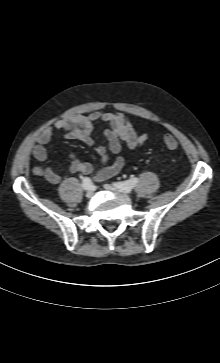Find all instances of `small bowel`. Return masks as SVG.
Segmentation results:
<instances>
[{
  "mask_svg": "<svg viewBox=\"0 0 220 363\" xmlns=\"http://www.w3.org/2000/svg\"><path fill=\"white\" fill-rule=\"evenodd\" d=\"M97 122H106L109 128L103 134V142L96 144L93 131ZM56 130L64 131V136L71 140H80L92 147L102 162L108 159V151L113 154H119L125 144L129 149L135 150L140 148L147 139L145 133H137L130 121L121 113L94 111L89 115H72L55 124L45 128L36 138L32 150L33 157L44 162L47 159L45 145L48 144ZM70 159V172L91 175L96 182H103L117 174L124 165V159L118 155L115 161L102 169L95 171L92 164L82 162L73 152H67ZM33 173L37 176L44 177L51 184H58L61 177L49 167L35 166Z\"/></svg>",
  "mask_w": 220,
  "mask_h": 363,
  "instance_id": "obj_1",
  "label": "small bowel"
}]
</instances>
